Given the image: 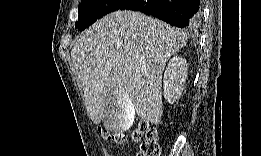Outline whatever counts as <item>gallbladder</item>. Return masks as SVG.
Listing matches in <instances>:
<instances>
[{"instance_id":"gallbladder-1","label":"gallbladder","mask_w":261,"mask_h":156,"mask_svg":"<svg viewBox=\"0 0 261 156\" xmlns=\"http://www.w3.org/2000/svg\"><path fill=\"white\" fill-rule=\"evenodd\" d=\"M125 90H114L109 94L108 100L103 107V124L113 132H122L132 127L134 122L135 109L133 102L127 100L130 95Z\"/></svg>"}]
</instances>
